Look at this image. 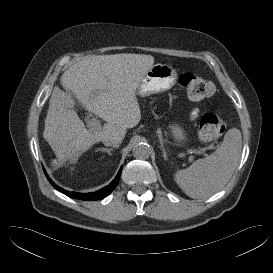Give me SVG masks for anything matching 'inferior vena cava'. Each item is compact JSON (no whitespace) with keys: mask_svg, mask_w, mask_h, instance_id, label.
<instances>
[{"mask_svg":"<svg viewBox=\"0 0 273 273\" xmlns=\"http://www.w3.org/2000/svg\"><path fill=\"white\" fill-rule=\"evenodd\" d=\"M105 146L119 147L120 141L115 138H105L103 140Z\"/></svg>","mask_w":273,"mask_h":273,"instance_id":"1","label":"inferior vena cava"}]
</instances>
